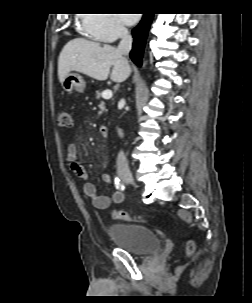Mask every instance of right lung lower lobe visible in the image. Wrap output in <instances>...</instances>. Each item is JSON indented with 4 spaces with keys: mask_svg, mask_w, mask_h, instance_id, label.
<instances>
[{
    "mask_svg": "<svg viewBox=\"0 0 252 303\" xmlns=\"http://www.w3.org/2000/svg\"><path fill=\"white\" fill-rule=\"evenodd\" d=\"M152 18L153 14H144L139 25L132 30L134 42L130 52V58L138 66H141L142 64V55Z\"/></svg>",
    "mask_w": 252,
    "mask_h": 303,
    "instance_id": "right-lung-lower-lobe-1",
    "label": "right lung lower lobe"
}]
</instances>
